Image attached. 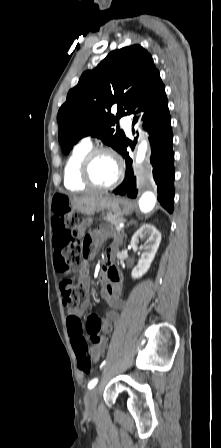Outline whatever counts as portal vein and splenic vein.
I'll return each instance as SVG.
<instances>
[{
	"instance_id": "obj_1",
	"label": "portal vein and splenic vein",
	"mask_w": 221,
	"mask_h": 448,
	"mask_svg": "<svg viewBox=\"0 0 221 448\" xmlns=\"http://www.w3.org/2000/svg\"><path fill=\"white\" fill-rule=\"evenodd\" d=\"M124 227V223H120L116 226V230L119 231Z\"/></svg>"
}]
</instances>
